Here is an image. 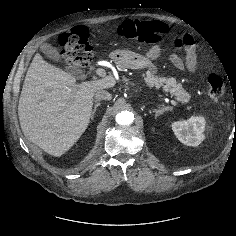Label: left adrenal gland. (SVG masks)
Listing matches in <instances>:
<instances>
[{
    "label": "left adrenal gland",
    "mask_w": 236,
    "mask_h": 236,
    "mask_svg": "<svg viewBox=\"0 0 236 236\" xmlns=\"http://www.w3.org/2000/svg\"><path fill=\"white\" fill-rule=\"evenodd\" d=\"M172 110L171 107H165L164 105H162L161 108L159 109H153V112L155 113V118H157L158 116L162 115L165 111H169Z\"/></svg>",
    "instance_id": "1"
}]
</instances>
